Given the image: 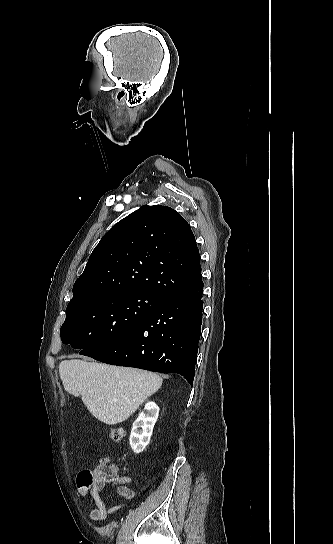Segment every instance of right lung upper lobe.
Segmentation results:
<instances>
[{"label": "right lung upper lobe", "instance_id": "obj_1", "mask_svg": "<svg viewBox=\"0 0 333 544\" xmlns=\"http://www.w3.org/2000/svg\"><path fill=\"white\" fill-rule=\"evenodd\" d=\"M200 281L199 250L187 221L170 207L143 206L101 238L69 303L128 292L165 298Z\"/></svg>", "mask_w": 333, "mask_h": 544}]
</instances>
